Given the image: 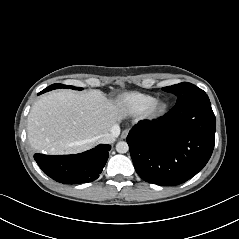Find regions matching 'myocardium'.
<instances>
[{"label":"myocardium","mask_w":239,"mask_h":239,"mask_svg":"<svg viewBox=\"0 0 239 239\" xmlns=\"http://www.w3.org/2000/svg\"><path fill=\"white\" fill-rule=\"evenodd\" d=\"M168 110V103L160 98H154L143 111L147 119H159L166 114Z\"/></svg>","instance_id":"f54148a6"}]
</instances>
